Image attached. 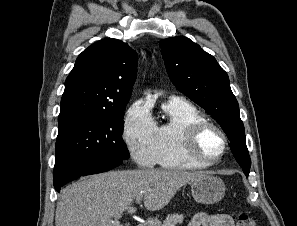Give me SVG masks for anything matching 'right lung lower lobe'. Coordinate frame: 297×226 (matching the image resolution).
I'll list each match as a JSON object with an SVG mask.
<instances>
[{
	"label": "right lung lower lobe",
	"mask_w": 297,
	"mask_h": 226,
	"mask_svg": "<svg viewBox=\"0 0 297 226\" xmlns=\"http://www.w3.org/2000/svg\"><path fill=\"white\" fill-rule=\"evenodd\" d=\"M121 164L120 160L102 156L81 157L55 164L53 175L55 190L60 192L61 186L80 176L105 172Z\"/></svg>",
	"instance_id": "obj_1"
}]
</instances>
